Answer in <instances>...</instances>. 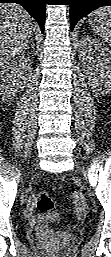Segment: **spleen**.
Instances as JSON below:
<instances>
[{"instance_id":"spleen-1","label":"spleen","mask_w":111,"mask_h":257,"mask_svg":"<svg viewBox=\"0 0 111 257\" xmlns=\"http://www.w3.org/2000/svg\"><path fill=\"white\" fill-rule=\"evenodd\" d=\"M89 23L97 36L111 46V7L96 9L90 15Z\"/></svg>"}]
</instances>
